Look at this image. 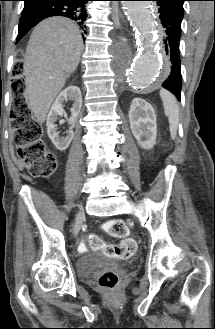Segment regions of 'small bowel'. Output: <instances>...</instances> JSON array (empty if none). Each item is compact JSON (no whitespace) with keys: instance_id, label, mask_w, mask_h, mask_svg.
Returning a JSON list of instances; mask_svg holds the SVG:
<instances>
[{"instance_id":"obj_1","label":"small bowel","mask_w":215,"mask_h":329,"mask_svg":"<svg viewBox=\"0 0 215 329\" xmlns=\"http://www.w3.org/2000/svg\"><path fill=\"white\" fill-rule=\"evenodd\" d=\"M18 164H19V166H21V167L23 166V164H22L20 161H18Z\"/></svg>"}]
</instances>
